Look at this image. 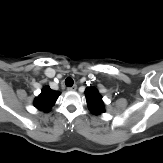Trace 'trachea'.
I'll list each match as a JSON object with an SVG mask.
<instances>
[{"label":"trachea","instance_id":"trachea-1","mask_svg":"<svg viewBox=\"0 0 163 163\" xmlns=\"http://www.w3.org/2000/svg\"><path fill=\"white\" fill-rule=\"evenodd\" d=\"M74 84V81L71 77H67L66 80H65V85L68 86V87H72Z\"/></svg>","mask_w":163,"mask_h":163}]
</instances>
